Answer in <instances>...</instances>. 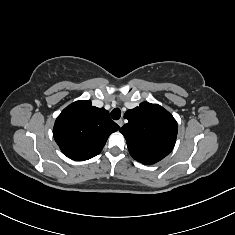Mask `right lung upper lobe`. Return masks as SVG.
Wrapping results in <instances>:
<instances>
[{
    "mask_svg": "<svg viewBox=\"0 0 235 235\" xmlns=\"http://www.w3.org/2000/svg\"><path fill=\"white\" fill-rule=\"evenodd\" d=\"M119 128L107 110L92 106L90 100H82L61 112L53 128V136L67 157L83 161L98 155L109 135Z\"/></svg>",
    "mask_w": 235,
    "mask_h": 235,
    "instance_id": "right-lung-upper-lobe-1",
    "label": "right lung upper lobe"
}]
</instances>
